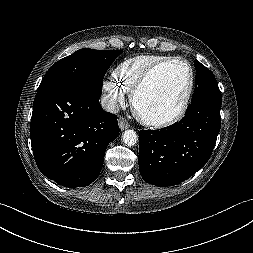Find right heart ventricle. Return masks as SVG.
<instances>
[{
    "label": "right heart ventricle",
    "instance_id": "e07e8e85",
    "mask_svg": "<svg viewBox=\"0 0 253 253\" xmlns=\"http://www.w3.org/2000/svg\"><path fill=\"white\" fill-rule=\"evenodd\" d=\"M170 57L160 54H142L122 61L112 72L114 83L125 93L131 94L135 85L152 65Z\"/></svg>",
    "mask_w": 253,
    "mask_h": 253
}]
</instances>
